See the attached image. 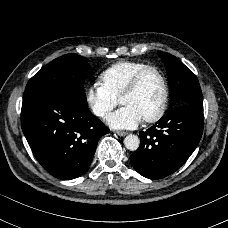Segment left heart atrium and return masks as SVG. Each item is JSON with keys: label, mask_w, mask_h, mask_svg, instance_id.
Listing matches in <instances>:
<instances>
[{"label": "left heart atrium", "mask_w": 228, "mask_h": 228, "mask_svg": "<svg viewBox=\"0 0 228 228\" xmlns=\"http://www.w3.org/2000/svg\"><path fill=\"white\" fill-rule=\"evenodd\" d=\"M142 120V116L130 106H124L107 117V123L115 129H133Z\"/></svg>", "instance_id": "39dd6f15"}]
</instances>
